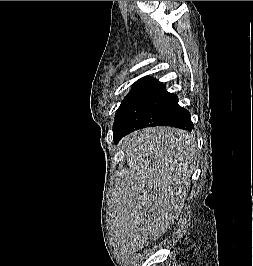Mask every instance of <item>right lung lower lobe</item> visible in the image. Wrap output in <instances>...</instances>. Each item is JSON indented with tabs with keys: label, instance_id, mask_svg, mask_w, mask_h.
Segmentation results:
<instances>
[{
	"label": "right lung lower lobe",
	"instance_id": "98d812e1",
	"mask_svg": "<svg viewBox=\"0 0 253 266\" xmlns=\"http://www.w3.org/2000/svg\"><path fill=\"white\" fill-rule=\"evenodd\" d=\"M177 102H178V97L174 95L172 106L169 112L166 114L165 118L162 121H159L158 123L152 126H173L191 131V129L194 128V125L191 121V115L188 110L184 109L183 107H180ZM141 128L145 127L130 128L125 123H114L113 138L115 143H118V141L123 136L129 134L130 132H133L134 130Z\"/></svg>",
	"mask_w": 253,
	"mask_h": 266
}]
</instances>
